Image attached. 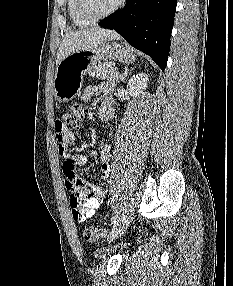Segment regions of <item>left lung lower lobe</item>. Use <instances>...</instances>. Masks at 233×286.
<instances>
[{
    "label": "left lung lower lobe",
    "instance_id": "left-lung-lower-lobe-1",
    "mask_svg": "<svg viewBox=\"0 0 233 286\" xmlns=\"http://www.w3.org/2000/svg\"><path fill=\"white\" fill-rule=\"evenodd\" d=\"M177 0H127L120 11L98 24L115 29L130 45L165 70Z\"/></svg>",
    "mask_w": 233,
    "mask_h": 286
}]
</instances>
